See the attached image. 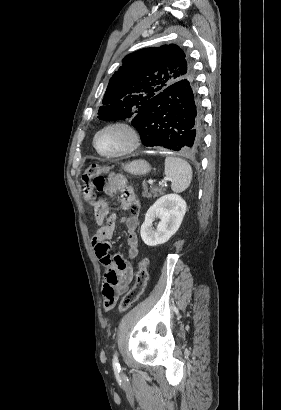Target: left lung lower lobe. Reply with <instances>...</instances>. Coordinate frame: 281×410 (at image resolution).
<instances>
[{
  "label": "left lung lower lobe",
  "mask_w": 281,
  "mask_h": 410,
  "mask_svg": "<svg viewBox=\"0 0 281 410\" xmlns=\"http://www.w3.org/2000/svg\"><path fill=\"white\" fill-rule=\"evenodd\" d=\"M145 146L196 151L203 140V120L194 78L165 88L132 120Z\"/></svg>",
  "instance_id": "1"
}]
</instances>
